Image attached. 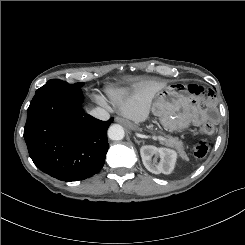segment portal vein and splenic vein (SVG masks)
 I'll use <instances>...</instances> for the list:
<instances>
[{
    "label": "portal vein and splenic vein",
    "instance_id": "portal-vein-and-splenic-vein-1",
    "mask_svg": "<svg viewBox=\"0 0 245 245\" xmlns=\"http://www.w3.org/2000/svg\"><path fill=\"white\" fill-rule=\"evenodd\" d=\"M154 138L155 139H158V140H160V141H164L165 139L163 138V137H161V136H154Z\"/></svg>",
    "mask_w": 245,
    "mask_h": 245
}]
</instances>
